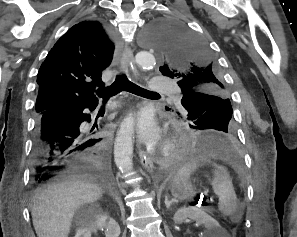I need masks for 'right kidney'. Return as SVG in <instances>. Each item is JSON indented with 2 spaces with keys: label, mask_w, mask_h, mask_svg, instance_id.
Masks as SVG:
<instances>
[{
  "label": "right kidney",
  "mask_w": 297,
  "mask_h": 237,
  "mask_svg": "<svg viewBox=\"0 0 297 237\" xmlns=\"http://www.w3.org/2000/svg\"><path fill=\"white\" fill-rule=\"evenodd\" d=\"M105 230V237H119L118 223L107 213H97L79 231L78 237H91L94 230Z\"/></svg>",
  "instance_id": "ca27d5eb"
}]
</instances>
